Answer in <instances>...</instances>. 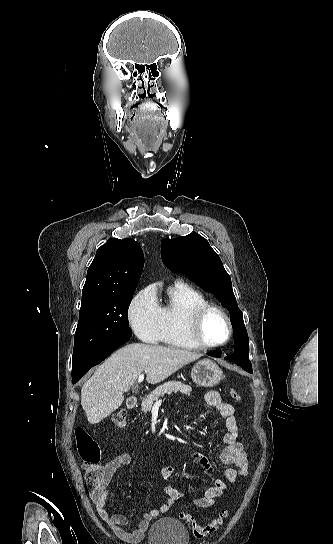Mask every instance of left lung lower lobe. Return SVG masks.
Wrapping results in <instances>:
<instances>
[{"label":"left lung lower lobe","instance_id":"1","mask_svg":"<svg viewBox=\"0 0 333 544\" xmlns=\"http://www.w3.org/2000/svg\"><path fill=\"white\" fill-rule=\"evenodd\" d=\"M234 339H236V341L238 340V338H237L236 335H235ZM207 354H208L209 356H212V357H220V356H221V351H220V350H218V351H212V352H209V353H207ZM225 359H228V360H230V361H232V362L235 363V361L233 360V356H232V355H231V356H230V355H227V356L225 357ZM235 364H237V363H235ZM237 365H239V364H237ZM239 366H241L245 371H247V372H249V373H252V366H251V365H250V366L239 365Z\"/></svg>","mask_w":333,"mask_h":544}]
</instances>
